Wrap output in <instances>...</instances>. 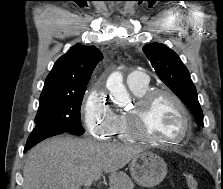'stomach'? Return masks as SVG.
<instances>
[{"mask_svg":"<svg viewBox=\"0 0 223 189\" xmlns=\"http://www.w3.org/2000/svg\"><path fill=\"white\" fill-rule=\"evenodd\" d=\"M129 166L132 178L144 187L156 186L167 174L165 161L152 152L146 151L136 155Z\"/></svg>","mask_w":223,"mask_h":189,"instance_id":"1","label":"stomach"}]
</instances>
